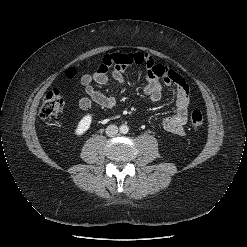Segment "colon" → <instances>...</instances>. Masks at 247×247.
I'll return each mask as SVG.
<instances>
[{
	"label": "colon",
	"instance_id": "1",
	"mask_svg": "<svg viewBox=\"0 0 247 247\" xmlns=\"http://www.w3.org/2000/svg\"><path fill=\"white\" fill-rule=\"evenodd\" d=\"M75 72H71L70 76L73 77ZM65 106V98L60 89L54 88L49 90L44 96L42 105L40 107V117L50 118L59 114ZM190 122L193 127L199 128L204 123V117L200 110H194L190 116Z\"/></svg>",
	"mask_w": 247,
	"mask_h": 247
}]
</instances>
